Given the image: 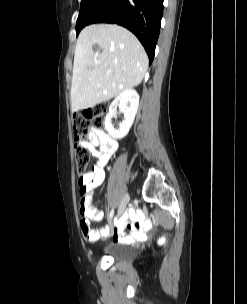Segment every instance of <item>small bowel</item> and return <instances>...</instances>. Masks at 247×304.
Instances as JSON below:
<instances>
[{
	"label": "small bowel",
	"instance_id": "small-bowel-1",
	"mask_svg": "<svg viewBox=\"0 0 247 304\" xmlns=\"http://www.w3.org/2000/svg\"><path fill=\"white\" fill-rule=\"evenodd\" d=\"M83 145L89 153L96 158L93 167L79 180L80 187L84 188V208L81 206L84 219L81 221V230L88 242H96L100 238L111 234L110 226L105 225L99 229H93L90 221H100L102 212L90 207L95 190L103 183L105 178L104 168L109 163L117 149V141L102 129H93L83 141ZM150 227V221L145 220L138 212L131 211L128 219L119 222L113 229V238L119 243H134L145 240L146 230Z\"/></svg>",
	"mask_w": 247,
	"mask_h": 304
}]
</instances>
